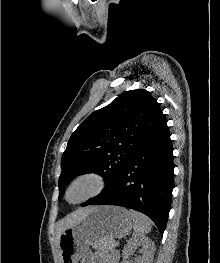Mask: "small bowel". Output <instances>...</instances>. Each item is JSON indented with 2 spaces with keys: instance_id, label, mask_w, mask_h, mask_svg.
Segmentation results:
<instances>
[{
  "instance_id": "small-bowel-1",
  "label": "small bowel",
  "mask_w": 220,
  "mask_h": 263,
  "mask_svg": "<svg viewBox=\"0 0 220 263\" xmlns=\"http://www.w3.org/2000/svg\"><path fill=\"white\" fill-rule=\"evenodd\" d=\"M81 263H107V262L95 256L94 254L89 253L83 258Z\"/></svg>"
}]
</instances>
